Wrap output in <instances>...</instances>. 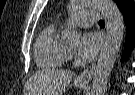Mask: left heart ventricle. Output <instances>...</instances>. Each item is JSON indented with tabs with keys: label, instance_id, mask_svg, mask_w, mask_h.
I'll return each mask as SVG.
<instances>
[{
	"label": "left heart ventricle",
	"instance_id": "left-heart-ventricle-1",
	"mask_svg": "<svg viewBox=\"0 0 135 95\" xmlns=\"http://www.w3.org/2000/svg\"><path fill=\"white\" fill-rule=\"evenodd\" d=\"M75 28L82 30V29H85V28H86V26L78 25V26H76ZM71 47H73V46H71Z\"/></svg>",
	"mask_w": 135,
	"mask_h": 95
}]
</instances>
